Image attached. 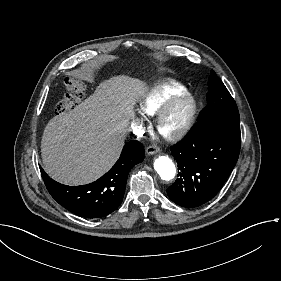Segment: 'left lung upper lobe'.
I'll use <instances>...</instances> for the list:
<instances>
[{"instance_id": "1", "label": "left lung upper lobe", "mask_w": 281, "mask_h": 281, "mask_svg": "<svg viewBox=\"0 0 281 281\" xmlns=\"http://www.w3.org/2000/svg\"><path fill=\"white\" fill-rule=\"evenodd\" d=\"M208 85L207 106L202 110L198 121H239V112L234 99L213 70H211Z\"/></svg>"}]
</instances>
